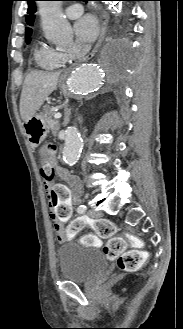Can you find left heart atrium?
I'll return each instance as SVG.
<instances>
[{
  "mask_svg": "<svg viewBox=\"0 0 183 329\" xmlns=\"http://www.w3.org/2000/svg\"><path fill=\"white\" fill-rule=\"evenodd\" d=\"M74 31L80 42L91 43L98 35L99 26L92 15H84L75 23Z\"/></svg>",
  "mask_w": 183,
  "mask_h": 329,
  "instance_id": "left-heart-atrium-1",
  "label": "left heart atrium"
}]
</instances>
